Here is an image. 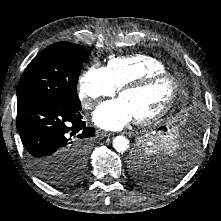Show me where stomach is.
<instances>
[{
	"label": "stomach",
	"instance_id": "0dacf381",
	"mask_svg": "<svg viewBox=\"0 0 221 221\" xmlns=\"http://www.w3.org/2000/svg\"><path fill=\"white\" fill-rule=\"evenodd\" d=\"M167 134H170L173 136V138L169 139L167 138L166 140V143H167V146H171V147H174V144L177 142V132H168Z\"/></svg>",
	"mask_w": 221,
	"mask_h": 221
}]
</instances>
